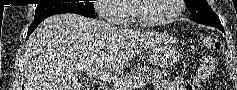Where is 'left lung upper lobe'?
Segmentation results:
<instances>
[{
  "instance_id": "left-lung-upper-lobe-1",
  "label": "left lung upper lobe",
  "mask_w": 237,
  "mask_h": 90,
  "mask_svg": "<svg viewBox=\"0 0 237 90\" xmlns=\"http://www.w3.org/2000/svg\"><path fill=\"white\" fill-rule=\"evenodd\" d=\"M185 3L192 14V21L224 30L219 17L209 7L206 0H185Z\"/></svg>"
}]
</instances>
